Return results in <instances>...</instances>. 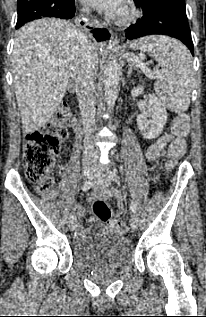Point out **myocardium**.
<instances>
[{
	"mask_svg": "<svg viewBox=\"0 0 206 317\" xmlns=\"http://www.w3.org/2000/svg\"><path fill=\"white\" fill-rule=\"evenodd\" d=\"M137 16V9L130 4H126L122 8L121 12L116 16V22L119 25L125 26L135 21Z\"/></svg>",
	"mask_w": 206,
	"mask_h": 317,
	"instance_id": "obj_1",
	"label": "myocardium"
}]
</instances>
